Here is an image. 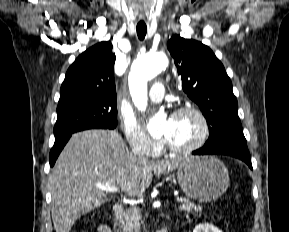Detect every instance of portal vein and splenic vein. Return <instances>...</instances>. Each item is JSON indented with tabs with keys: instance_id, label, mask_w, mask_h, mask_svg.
<instances>
[{
	"instance_id": "portal-vein-and-splenic-vein-1",
	"label": "portal vein and splenic vein",
	"mask_w": 289,
	"mask_h": 232,
	"mask_svg": "<svg viewBox=\"0 0 289 232\" xmlns=\"http://www.w3.org/2000/svg\"><path fill=\"white\" fill-rule=\"evenodd\" d=\"M96 186H97L99 189H101V190H103V191H106V192H113V193L118 192V188H117V187L112 186V185H109V184H100V183H98V184H96ZM176 201H177V202H180V203H189V200H188V199L182 198V197H180V198L177 197V198H176Z\"/></svg>"
}]
</instances>
